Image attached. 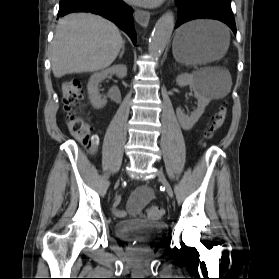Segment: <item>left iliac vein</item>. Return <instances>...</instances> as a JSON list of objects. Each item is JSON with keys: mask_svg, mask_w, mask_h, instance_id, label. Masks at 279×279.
<instances>
[{"mask_svg": "<svg viewBox=\"0 0 279 279\" xmlns=\"http://www.w3.org/2000/svg\"><path fill=\"white\" fill-rule=\"evenodd\" d=\"M157 176H158V179L160 180V182L162 183L163 187L165 188L168 196L172 198L174 195L173 189H172L170 183L168 182L166 176L160 169L157 170Z\"/></svg>", "mask_w": 279, "mask_h": 279, "instance_id": "obj_1", "label": "left iliac vein"}]
</instances>
